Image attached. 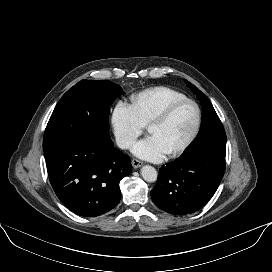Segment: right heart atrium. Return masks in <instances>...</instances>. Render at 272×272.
<instances>
[{
	"mask_svg": "<svg viewBox=\"0 0 272 272\" xmlns=\"http://www.w3.org/2000/svg\"><path fill=\"white\" fill-rule=\"evenodd\" d=\"M111 124L116 141L123 149L130 148L144 130V125L132 107L125 103H118L114 107Z\"/></svg>",
	"mask_w": 272,
	"mask_h": 272,
	"instance_id": "right-heart-atrium-1",
	"label": "right heart atrium"
}]
</instances>
